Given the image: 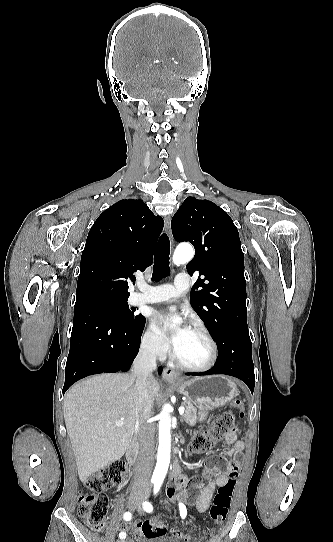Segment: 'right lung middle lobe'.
Listing matches in <instances>:
<instances>
[{
  "instance_id": "1",
  "label": "right lung middle lobe",
  "mask_w": 333,
  "mask_h": 542,
  "mask_svg": "<svg viewBox=\"0 0 333 542\" xmlns=\"http://www.w3.org/2000/svg\"><path fill=\"white\" fill-rule=\"evenodd\" d=\"M128 298H120L108 293H92L86 296L83 300L93 301L103 308L114 318L123 321L129 325H138L145 320L141 314H134L135 308H129L127 303Z\"/></svg>"
}]
</instances>
